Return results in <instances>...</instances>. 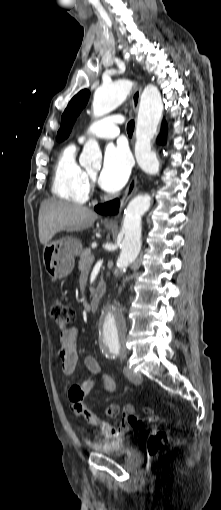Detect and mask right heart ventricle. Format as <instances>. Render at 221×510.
I'll list each match as a JSON object with an SVG mask.
<instances>
[{
	"label": "right heart ventricle",
	"instance_id": "e07e8e85",
	"mask_svg": "<svg viewBox=\"0 0 221 510\" xmlns=\"http://www.w3.org/2000/svg\"><path fill=\"white\" fill-rule=\"evenodd\" d=\"M77 148L69 144L60 152L55 166L52 192L55 196L73 202L84 204L89 199V181L86 171L76 159Z\"/></svg>",
	"mask_w": 221,
	"mask_h": 510
}]
</instances>
